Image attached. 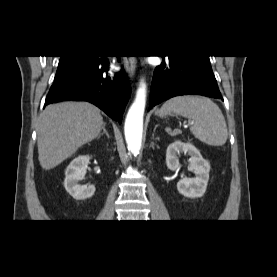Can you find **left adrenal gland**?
<instances>
[{"instance_id": "left-adrenal-gland-1", "label": "left adrenal gland", "mask_w": 277, "mask_h": 277, "mask_svg": "<svg viewBox=\"0 0 277 277\" xmlns=\"http://www.w3.org/2000/svg\"><path fill=\"white\" fill-rule=\"evenodd\" d=\"M157 127H158V125H156V126H155V128H154V132H155V130H156V128H157ZM170 134H171V133H170ZM171 135H172V134H171Z\"/></svg>"}]
</instances>
